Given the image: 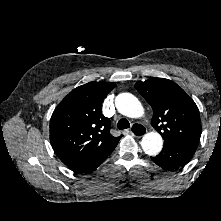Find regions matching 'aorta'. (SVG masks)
Instances as JSON below:
<instances>
[{
    "label": "aorta",
    "mask_w": 221,
    "mask_h": 221,
    "mask_svg": "<svg viewBox=\"0 0 221 221\" xmlns=\"http://www.w3.org/2000/svg\"><path fill=\"white\" fill-rule=\"evenodd\" d=\"M117 110L130 118H138L144 114L140 101L130 93H121L115 99ZM143 151L149 156H156L163 147V139L157 132L145 134L141 141Z\"/></svg>",
    "instance_id": "obj_1"
}]
</instances>
